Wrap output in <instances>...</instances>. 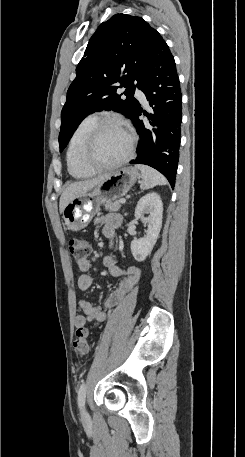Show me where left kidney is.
Returning a JSON list of instances; mask_svg holds the SVG:
<instances>
[{"label":"left kidney","mask_w":245,"mask_h":457,"mask_svg":"<svg viewBox=\"0 0 245 457\" xmlns=\"http://www.w3.org/2000/svg\"><path fill=\"white\" fill-rule=\"evenodd\" d=\"M163 202L157 192H148L139 198L135 208L136 218H141L142 222H149L147 235L144 239H134L131 241L130 249L135 261H145L150 255L161 231ZM148 214V216H144Z\"/></svg>","instance_id":"5707ae66"}]
</instances>
